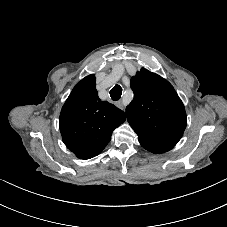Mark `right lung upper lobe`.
<instances>
[{"mask_svg": "<svg viewBox=\"0 0 227 227\" xmlns=\"http://www.w3.org/2000/svg\"><path fill=\"white\" fill-rule=\"evenodd\" d=\"M126 119L125 113L101 101L93 74L83 78L72 90L60 113V132L66 147L80 159L102 152L111 135Z\"/></svg>", "mask_w": 227, "mask_h": 227, "instance_id": "obj_1", "label": "right lung upper lobe"}]
</instances>
